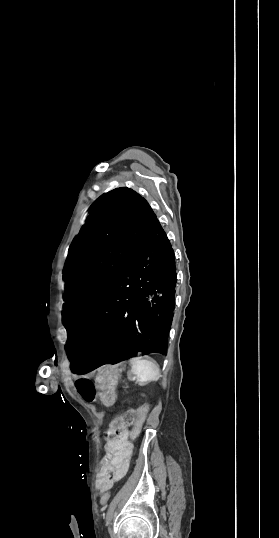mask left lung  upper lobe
<instances>
[{
    "label": "left lung upper lobe",
    "instance_id": "obj_1",
    "mask_svg": "<svg viewBox=\"0 0 279 538\" xmlns=\"http://www.w3.org/2000/svg\"><path fill=\"white\" fill-rule=\"evenodd\" d=\"M156 220L148 202L129 188L94 202L64 267L62 321L68 333L90 317Z\"/></svg>",
    "mask_w": 279,
    "mask_h": 538
}]
</instances>
